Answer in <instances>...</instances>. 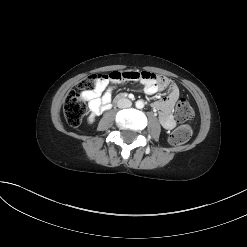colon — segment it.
Instances as JSON below:
<instances>
[{"label": "colon", "mask_w": 247, "mask_h": 247, "mask_svg": "<svg viewBox=\"0 0 247 247\" xmlns=\"http://www.w3.org/2000/svg\"><path fill=\"white\" fill-rule=\"evenodd\" d=\"M101 75H91L77 84L75 90L71 91L64 101V116L68 124L72 127H78L85 114L86 103L80 91L92 89L93 84ZM175 115L181 121H186L194 116V110L190 103L181 98L176 105ZM192 130L188 125H181L175 129L169 136V142L172 145H181L189 140Z\"/></svg>", "instance_id": "colon-1"}]
</instances>
